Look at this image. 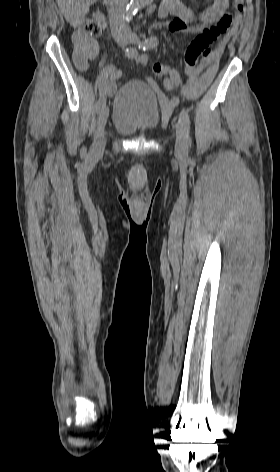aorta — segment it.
<instances>
[{
    "label": "aorta",
    "instance_id": "1",
    "mask_svg": "<svg viewBox=\"0 0 280 472\" xmlns=\"http://www.w3.org/2000/svg\"><path fill=\"white\" fill-rule=\"evenodd\" d=\"M152 1L153 0H131L127 7V10L124 13V20L130 19L134 13H136L139 9H141L147 3Z\"/></svg>",
    "mask_w": 280,
    "mask_h": 472
}]
</instances>
